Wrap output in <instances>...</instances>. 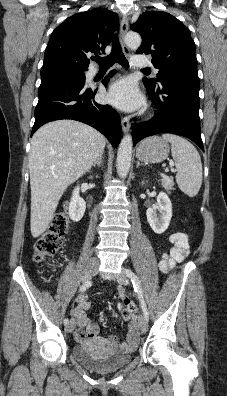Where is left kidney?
I'll use <instances>...</instances> for the list:
<instances>
[{"label":"left kidney","mask_w":227,"mask_h":396,"mask_svg":"<svg viewBox=\"0 0 227 396\" xmlns=\"http://www.w3.org/2000/svg\"><path fill=\"white\" fill-rule=\"evenodd\" d=\"M148 223L157 234H162L169 226L172 218V204L166 193L157 196V205L146 211Z\"/></svg>","instance_id":"left-kidney-1"}]
</instances>
